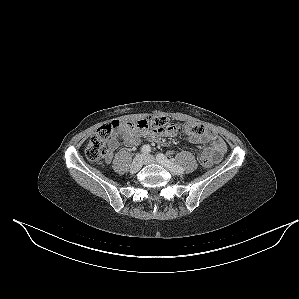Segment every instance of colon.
I'll use <instances>...</instances> for the list:
<instances>
[{
    "instance_id": "1",
    "label": "colon",
    "mask_w": 299,
    "mask_h": 299,
    "mask_svg": "<svg viewBox=\"0 0 299 299\" xmlns=\"http://www.w3.org/2000/svg\"><path fill=\"white\" fill-rule=\"evenodd\" d=\"M122 124L131 128L151 129L158 133L176 134L181 131L186 134H194L202 130V125L197 122H187L182 126H178L171 123L169 119L164 116H153L138 121H128L124 123L111 121L99 127L87 144L85 155L89 161L100 163L108 157L111 149L112 133ZM200 162L205 168H208L213 164L212 161L207 158H203Z\"/></svg>"
}]
</instances>
